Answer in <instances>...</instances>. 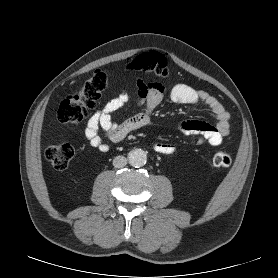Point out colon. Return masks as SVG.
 <instances>
[{
    "instance_id": "colon-1",
    "label": "colon",
    "mask_w": 278,
    "mask_h": 278,
    "mask_svg": "<svg viewBox=\"0 0 278 278\" xmlns=\"http://www.w3.org/2000/svg\"><path fill=\"white\" fill-rule=\"evenodd\" d=\"M136 71L153 74L165 78L169 75V67L166 57L159 52H146L137 56L130 64ZM108 73L97 70L86 82L82 91L77 95H71L61 101L57 118L60 122L77 124L84 120L89 112L94 109L103 91L108 84ZM75 150L70 143H61L49 146L45 151L48 161L58 170L65 169L72 158ZM213 163L217 167H229L232 159L224 151H217L213 156Z\"/></svg>"
}]
</instances>
